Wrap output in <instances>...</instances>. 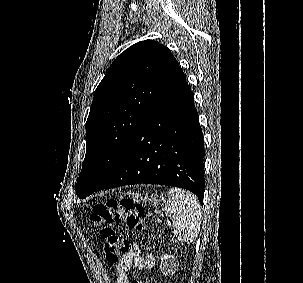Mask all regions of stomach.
Here are the masks:
<instances>
[{
    "label": "stomach",
    "mask_w": 303,
    "mask_h": 283,
    "mask_svg": "<svg viewBox=\"0 0 303 283\" xmlns=\"http://www.w3.org/2000/svg\"><path fill=\"white\" fill-rule=\"evenodd\" d=\"M161 200L162 198L159 196H151L149 202H151L154 206H157ZM145 201H148V196L145 197Z\"/></svg>",
    "instance_id": "0dacf381"
}]
</instances>
